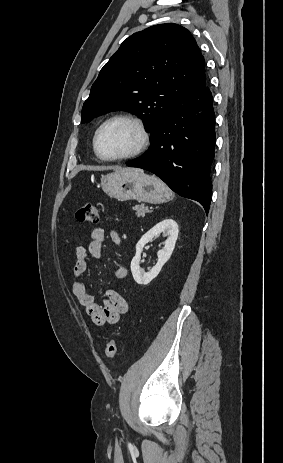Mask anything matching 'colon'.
I'll return each mask as SVG.
<instances>
[{
    "label": "colon",
    "mask_w": 283,
    "mask_h": 463,
    "mask_svg": "<svg viewBox=\"0 0 283 463\" xmlns=\"http://www.w3.org/2000/svg\"><path fill=\"white\" fill-rule=\"evenodd\" d=\"M76 218L84 223H97L99 220L98 209L93 203H86L76 213ZM117 341L110 340L105 347V356L109 359L113 358L117 352Z\"/></svg>",
    "instance_id": "1"
}]
</instances>
